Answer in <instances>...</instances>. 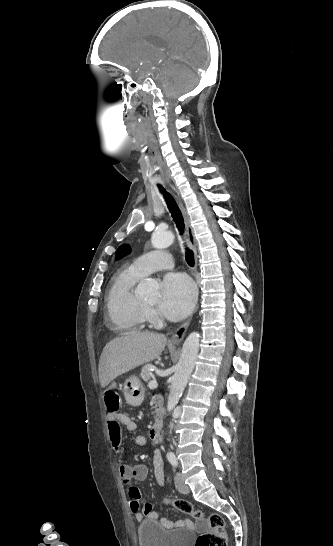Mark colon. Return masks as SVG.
Wrapping results in <instances>:
<instances>
[{
	"mask_svg": "<svg viewBox=\"0 0 333 546\" xmlns=\"http://www.w3.org/2000/svg\"><path fill=\"white\" fill-rule=\"evenodd\" d=\"M120 402V396L116 391L105 394V405L110 414L115 415L118 413ZM116 436L117 438L120 437V429L117 430ZM171 505L184 514L193 515L198 519L206 518L208 529L197 537L195 546H227L225 523L219 514L204 515L202 511L183 499L175 500L171 502Z\"/></svg>",
	"mask_w": 333,
	"mask_h": 546,
	"instance_id": "1",
	"label": "colon"
}]
</instances>
